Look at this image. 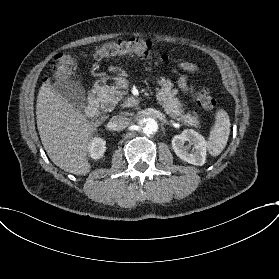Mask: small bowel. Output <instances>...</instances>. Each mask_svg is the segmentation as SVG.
Returning <instances> with one entry per match:
<instances>
[{
  "label": "small bowel",
  "instance_id": "1",
  "mask_svg": "<svg viewBox=\"0 0 279 279\" xmlns=\"http://www.w3.org/2000/svg\"><path fill=\"white\" fill-rule=\"evenodd\" d=\"M179 66L186 72L179 80V86L182 90L188 91V74H196L200 72V69L193 63L181 60L179 61Z\"/></svg>",
  "mask_w": 279,
  "mask_h": 279
}]
</instances>
